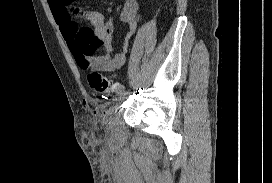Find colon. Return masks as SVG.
Here are the masks:
<instances>
[{
  "mask_svg": "<svg viewBox=\"0 0 272 183\" xmlns=\"http://www.w3.org/2000/svg\"><path fill=\"white\" fill-rule=\"evenodd\" d=\"M85 77L89 86L98 93H106L117 88L109 74L99 71L92 66L87 68Z\"/></svg>",
  "mask_w": 272,
  "mask_h": 183,
  "instance_id": "5ec220e1",
  "label": "colon"
}]
</instances>
